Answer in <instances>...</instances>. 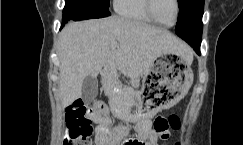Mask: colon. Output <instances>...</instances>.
<instances>
[{"instance_id":"5ec220e1","label":"colon","mask_w":243,"mask_h":145,"mask_svg":"<svg viewBox=\"0 0 243 145\" xmlns=\"http://www.w3.org/2000/svg\"><path fill=\"white\" fill-rule=\"evenodd\" d=\"M92 108H88L81 100H76L66 109V121L70 136V145H92L94 133L106 135L109 131L108 124L103 122L96 127L93 125ZM181 121L177 115L168 118L159 116L154 120L153 128L162 137L169 136V129L180 128ZM179 145V144H176Z\"/></svg>"}]
</instances>
